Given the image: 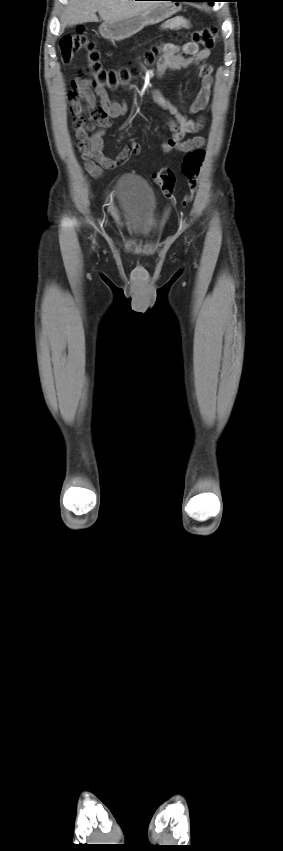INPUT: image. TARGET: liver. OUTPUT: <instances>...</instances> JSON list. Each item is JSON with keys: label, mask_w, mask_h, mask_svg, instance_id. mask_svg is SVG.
Masks as SVG:
<instances>
[{"label": "liver", "mask_w": 283, "mask_h": 851, "mask_svg": "<svg viewBox=\"0 0 283 851\" xmlns=\"http://www.w3.org/2000/svg\"><path fill=\"white\" fill-rule=\"evenodd\" d=\"M156 1L134 0H70L60 16L61 25L98 22L96 12L104 22L120 21L142 13Z\"/></svg>", "instance_id": "6515ba94"}]
</instances>
